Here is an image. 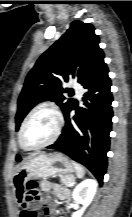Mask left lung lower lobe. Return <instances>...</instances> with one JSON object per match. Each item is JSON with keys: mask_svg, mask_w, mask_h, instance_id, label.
Instances as JSON below:
<instances>
[{"mask_svg": "<svg viewBox=\"0 0 132 217\" xmlns=\"http://www.w3.org/2000/svg\"><path fill=\"white\" fill-rule=\"evenodd\" d=\"M82 86L87 89L83 97L85 107L77 108L73 104L64 114L66 124L61 136L47 148L59 150L83 164L102 184L113 117V97L107 65L103 62ZM75 108L76 115L70 118L69 113Z\"/></svg>", "mask_w": 132, "mask_h": 217, "instance_id": "0a47b994", "label": "left lung lower lobe"}]
</instances>
